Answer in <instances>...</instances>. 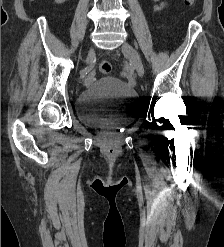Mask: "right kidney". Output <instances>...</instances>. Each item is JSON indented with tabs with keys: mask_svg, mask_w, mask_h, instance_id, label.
<instances>
[{
	"mask_svg": "<svg viewBox=\"0 0 224 247\" xmlns=\"http://www.w3.org/2000/svg\"><path fill=\"white\" fill-rule=\"evenodd\" d=\"M56 4H63V2H66V0H55Z\"/></svg>",
	"mask_w": 224,
	"mask_h": 247,
	"instance_id": "right-kidney-1",
	"label": "right kidney"
}]
</instances>
